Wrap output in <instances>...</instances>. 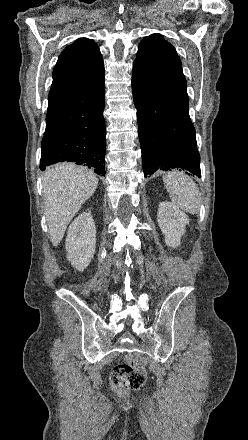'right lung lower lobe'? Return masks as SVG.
<instances>
[{
  "label": "right lung lower lobe",
  "instance_id": "1",
  "mask_svg": "<svg viewBox=\"0 0 248 440\" xmlns=\"http://www.w3.org/2000/svg\"><path fill=\"white\" fill-rule=\"evenodd\" d=\"M104 80L95 88L48 101L40 169L75 162L105 175Z\"/></svg>",
  "mask_w": 248,
  "mask_h": 440
}]
</instances>
